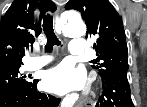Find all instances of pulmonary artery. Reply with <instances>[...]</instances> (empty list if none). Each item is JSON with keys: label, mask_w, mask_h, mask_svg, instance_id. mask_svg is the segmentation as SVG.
<instances>
[{"label": "pulmonary artery", "mask_w": 147, "mask_h": 107, "mask_svg": "<svg viewBox=\"0 0 147 107\" xmlns=\"http://www.w3.org/2000/svg\"><path fill=\"white\" fill-rule=\"evenodd\" d=\"M85 48L86 42L83 39H74L70 43V51L73 54H84ZM50 60L51 58L49 57L36 56L28 62L27 67L32 70L39 69L45 66Z\"/></svg>", "instance_id": "pulmonary-artery-1"}]
</instances>
